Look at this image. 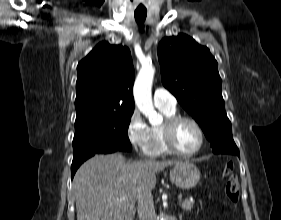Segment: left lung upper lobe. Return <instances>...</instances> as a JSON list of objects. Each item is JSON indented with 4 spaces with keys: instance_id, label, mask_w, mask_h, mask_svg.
Segmentation results:
<instances>
[{
    "instance_id": "1",
    "label": "left lung upper lobe",
    "mask_w": 281,
    "mask_h": 220,
    "mask_svg": "<svg viewBox=\"0 0 281 220\" xmlns=\"http://www.w3.org/2000/svg\"><path fill=\"white\" fill-rule=\"evenodd\" d=\"M163 85L200 124L216 154L238 150L221 92L217 61L207 47L179 34L166 37L158 46Z\"/></svg>"
}]
</instances>
